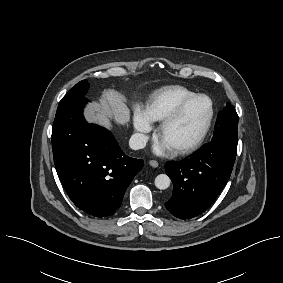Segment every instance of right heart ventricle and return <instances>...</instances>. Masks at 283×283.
<instances>
[{
	"label": "right heart ventricle",
	"mask_w": 283,
	"mask_h": 283,
	"mask_svg": "<svg viewBox=\"0 0 283 283\" xmlns=\"http://www.w3.org/2000/svg\"><path fill=\"white\" fill-rule=\"evenodd\" d=\"M194 94H196L194 91L180 85L163 87L151 95L143 114L148 120L161 121Z\"/></svg>",
	"instance_id": "1"
}]
</instances>
